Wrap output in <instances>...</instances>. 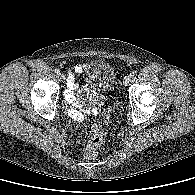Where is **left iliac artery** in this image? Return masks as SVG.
I'll return each instance as SVG.
<instances>
[{"mask_svg":"<svg viewBox=\"0 0 195 195\" xmlns=\"http://www.w3.org/2000/svg\"><path fill=\"white\" fill-rule=\"evenodd\" d=\"M134 75H135V73H134V72H132V73L130 74V76H131V77H134Z\"/></svg>","mask_w":195,"mask_h":195,"instance_id":"left-iliac-artery-1","label":"left iliac artery"}]
</instances>
